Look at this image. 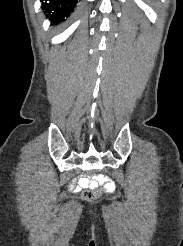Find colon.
<instances>
[{"mask_svg":"<svg viewBox=\"0 0 183 246\" xmlns=\"http://www.w3.org/2000/svg\"><path fill=\"white\" fill-rule=\"evenodd\" d=\"M85 174L87 175H92V174H96V170H85ZM102 184H105V182H100ZM100 194V191L98 189H95L94 187H89V189H86L83 192V198L86 201H91L95 198H97Z\"/></svg>","mask_w":183,"mask_h":246,"instance_id":"1","label":"colon"}]
</instances>
